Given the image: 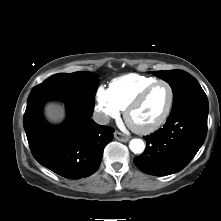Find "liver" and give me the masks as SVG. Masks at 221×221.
Listing matches in <instances>:
<instances>
[{"label":"liver","mask_w":221,"mask_h":221,"mask_svg":"<svg viewBox=\"0 0 221 221\" xmlns=\"http://www.w3.org/2000/svg\"><path fill=\"white\" fill-rule=\"evenodd\" d=\"M45 114L49 121L59 123L65 117L64 107L59 104H48L45 109Z\"/></svg>","instance_id":"obj_1"}]
</instances>
